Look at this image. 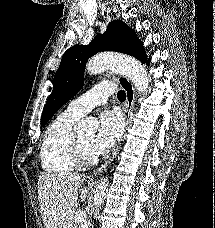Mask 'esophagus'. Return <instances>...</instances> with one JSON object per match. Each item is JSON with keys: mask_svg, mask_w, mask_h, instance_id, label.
I'll return each mask as SVG.
<instances>
[{"mask_svg": "<svg viewBox=\"0 0 215 228\" xmlns=\"http://www.w3.org/2000/svg\"><path fill=\"white\" fill-rule=\"evenodd\" d=\"M117 81H118L119 85L121 86V88H123V90L125 91V94H126V101H125V106H124V115L126 118L127 125H129L131 113H132V110L134 107L135 89L133 87L132 82L129 80V78H127L124 75H119L117 77ZM120 148H121V145H119L115 154L112 157H110L109 160H107L103 166H101L98 170H96L94 172V174H93L94 176H97L99 173L106 170V168L111 164V162L114 159V156L118 153Z\"/></svg>", "mask_w": 215, "mask_h": 228, "instance_id": "1", "label": "esophagus"}]
</instances>
